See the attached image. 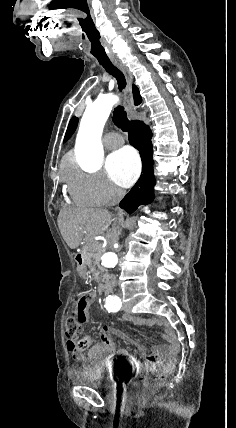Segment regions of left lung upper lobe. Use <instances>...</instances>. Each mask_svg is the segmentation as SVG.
<instances>
[{
	"instance_id": "5c2ea615",
	"label": "left lung upper lobe",
	"mask_w": 236,
	"mask_h": 428,
	"mask_svg": "<svg viewBox=\"0 0 236 428\" xmlns=\"http://www.w3.org/2000/svg\"><path fill=\"white\" fill-rule=\"evenodd\" d=\"M77 123H78V118L72 117V119L69 122L66 134H65L64 142H66L70 138V136L74 133V131L77 127Z\"/></svg>"
}]
</instances>
